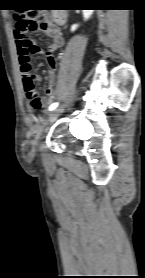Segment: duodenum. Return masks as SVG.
<instances>
[{
  "mask_svg": "<svg viewBox=\"0 0 145 278\" xmlns=\"http://www.w3.org/2000/svg\"><path fill=\"white\" fill-rule=\"evenodd\" d=\"M67 15L64 11H56L52 15V21L56 25H63L66 22Z\"/></svg>",
  "mask_w": 145,
  "mask_h": 278,
  "instance_id": "duodenum-1",
  "label": "duodenum"
}]
</instances>
